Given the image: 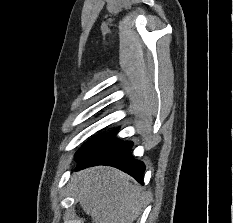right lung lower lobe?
Masks as SVG:
<instances>
[{
    "instance_id": "right-lung-lower-lobe-1",
    "label": "right lung lower lobe",
    "mask_w": 233,
    "mask_h": 223,
    "mask_svg": "<svg viewBox=\"0 0 233 223\" xmlns=\"http://www.w3.org/2000/svg\"><path fill=\"white\" fill-rule=\"evenodd\" d=\"M117 131L118 129H115L103 136L86 154L77 156L76 170L96 165H109L127 172L142 183L145 166L142 162L131 157V142L114 140Z\"/></svg>"
}]
</instances>
